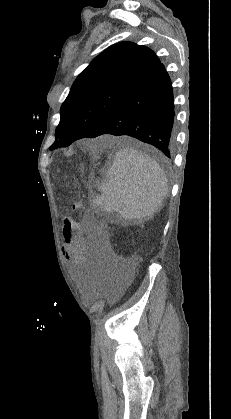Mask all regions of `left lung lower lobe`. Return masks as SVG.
I'll return each mask as SVG.
<instances>
[{
    "label": "left lung lower lobe",
    "mask_w": 231,
    "mask_h": 419,
    "mask_svg": "<svg viewBox=\"0 0 231 419\" xmlns=\"http://www.w3.org/2000/svg\"><path fill=\"white\" fill-rule=\"evenodd\" d=\"M174 115L171 80L160 63L88 138L128 135L153 145L171 158Z\"/></svg>",
    "instance_id": "obj_1"
}]
</instances>
